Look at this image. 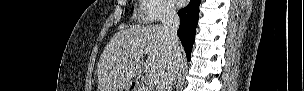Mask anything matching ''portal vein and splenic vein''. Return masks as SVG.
Masks as SVG:
<instances>
[{
	"mask_svg": "<svg viewBox=\"0 0 304 91\" xmlns=\"http://www.w3.org/2000/svg\"><path fill=\"white\" fill-rule=\"evenodd\" d=\"M122 60L126 61L127 59L123 58ZM148 82H149V84H155L157 82V80H156V78H154V76H152V75L149 74L148 75Z\"/></svg>",
	"mask_w": 304,
	"mask_h": 91,
	"instance_id": "1",
	"label": "portal vein and splenic vein"
}]
</instances>
